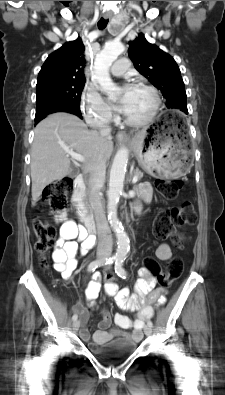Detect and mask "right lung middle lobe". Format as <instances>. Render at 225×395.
<instances>
[{
	"instance_id": "1",
	"label": "right lung middle lobe",
	"mask_w": 225,
	"mask_h": 395,
	"mask_svg": "<svg viewBox=\"0 0 225 395\" xmlns=\"http://www.w3.org/2000/svg\"><path fill=\"white\" fill-rule=\"evenodd\" d=\"M84 85L85 80L55 81L37 85L35 117H41L62 106H79Z\"/></svg>"
}]
</instances>
